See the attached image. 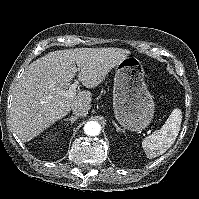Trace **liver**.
I'll return each instance as SVG.
<instances>
[{
    "instance_id": "1",
    "label": "liver",
    "mask_w": 199,
    "mask_h": 199,
    "mask_svg": "<svg viewBox=\"0 0 199 199\" xmlns=\"http://www.w3.org/2000/svg\"><path fill=\"white\" fill-rule=\"evenodd\" d=\"M130 53L113 47L77 48L53 51L33 61L13 91L10 114L18 138L22 142L32 140L77 104L89 110V91L73 97L65 94L76 73L84 86L95 88Z\"/></svg>"
}]
</instances>
